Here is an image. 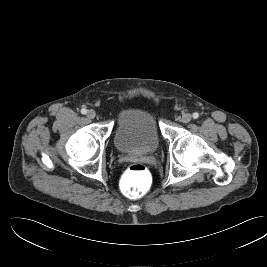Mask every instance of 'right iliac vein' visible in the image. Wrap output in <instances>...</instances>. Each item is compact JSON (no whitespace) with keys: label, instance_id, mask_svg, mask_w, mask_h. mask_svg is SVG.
Listing matches in <instances>:
<instances>
[{"label":"right iliac vein","instance_id":"1","mask_svg":"<svg viewBox=\"0 0 267 267\" xmlns=\"http://www.w3.org/2000/svg\"><path fill=\"white\" fill-rule=\"evenodd\" d=\"M87 117L90 119H94L96 117V112L93 109H89L87 112Z\"/></svg>","mask_w":267,"mask_h":267}]
</instances>
